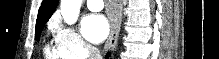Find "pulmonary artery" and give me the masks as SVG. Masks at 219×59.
I'll return each mask as SVG.
<instances>
[{"label": "pulmonary artery", "mask_w": 219, "mask_h": 59, "mask_svg": "<svg viewBox=\"0 0 219 59\" xmlns=\"http://www.w3.org/2000/svg\"><path fill=\"white\" fill-rule=\"evenodd\" d=\"M87 6L91 11H100L103 9V1L101 0H88Z\"/></svg>", "instance_id": "pulmonary-artery-1"}]
</instances>
